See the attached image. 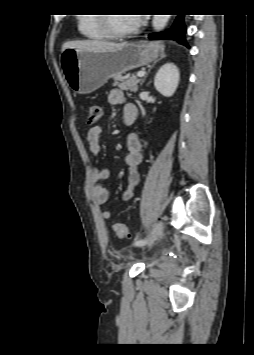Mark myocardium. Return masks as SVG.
Here are the masks:
<instances>
[{
  "label": "myocardium",
  "instance_id": "f54148a6",
  "mask_svg": "<svg viewBox=\"0 0 254 355\" xmlns=\"http://www.w3.org/2000/svg\"><path fill=\"white\" fill-rule=\"evenodd\" d=\"M110 15L111 14H101L99 15V25L102 32L106 35V37L110 39H123L136 34L139 30V27L136 26L130 30L117 32L114 31L110 24Z\"/></svg>",
  "mask_w": 254,
  "mask_h": 355
}]
</instances>
